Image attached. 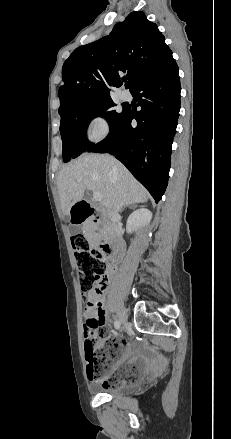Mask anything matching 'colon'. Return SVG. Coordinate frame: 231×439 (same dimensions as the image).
Masks as SVG:
<instances>
[{
  "label": "colon",
  "mask_w": 231,
  "mask_h": 439,
  "mask_svg": "<svg viewBox=\"0 0 231 439\" xmlns=\"http://www.w3.org/2000/svg\"><path fill=\"white\" fill-rule=\"evenodd\" d=\"M76 269L84 298L89 301L92 293L104 291L107 286L108 265L102 253L91 247L87 238L82 234L71 237ZM92 306H95L93 304ZM88 338L95 344L85 343L86 363L89 376L105 387L118 386L123 381V369L114 370L109 375L115 359L124 347V339L107 337L105 332L96 330L89 332ZM100 344H96L97 340Z\"/></svg>",
  "instance_id": "obj_1"
}]
</instances>
